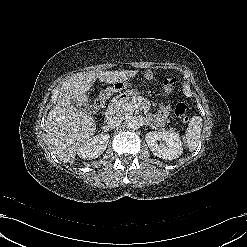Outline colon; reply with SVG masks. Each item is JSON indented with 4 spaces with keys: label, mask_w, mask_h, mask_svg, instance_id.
Returning <instances> with one entry per match:
<instances>
[{
    "label": "colon",
    "mask_w": 247,
    "mask_h": 247,
    "mask_svg": "<svg viewBox=\"0 0 247 247\" xmlns=\"http://www.w3.org/2000/svg\"><path fill=\"white\" fill-rule=\"evenodd\" d=\"M163 89L166 93H173L178 87V80L175 77H168L163 80ZM174 113L181 121H188V110L185 103H177L174 109Z\"/></svg>",
    "instance_id": "5ec220e1"
}]
</instances>
